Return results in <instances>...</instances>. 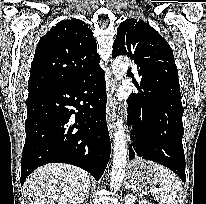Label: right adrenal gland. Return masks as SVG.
Wrapping results in <instances>:
<instances>
[{
	"label": "right adrenal gland",
	"mask_w": 206,
	"mask_h": 204,
	"mask_svg": "<svg viewBox=\"0 0 206 204\" xmlns=\"http://www.w3.org/2000/svg\"><path fill=\"white\" fill-rule=\"evenodd\" d=\"M90 188H91V186H89V188H88V190H87V193H86V196H85V198H84V200H83V202H82V203H84V201H86V198H88Z\"/></svg>",
	"instance_id": "2a0ac1e0"
}]
</instances>
